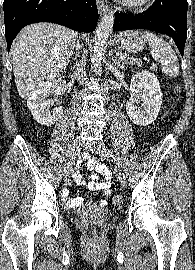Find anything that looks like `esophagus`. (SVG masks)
Instances as JSON below:
<instances>
[{"label": "esophagus", "mask_w": 195, "mask_h": 270, "mask_svg": "<svg viewBox=\"0 0 195 270\" xmlns=\"http://www.w3.org/2000/svg\"><path fill=\"white\" fill-rule=\"evenodd\" d=\"M97 8H98V11L101 15H103L109 11V7L105 3L104 0H97Z\"/></svg>", "instance_id": "obj_1"}]
</instances>
